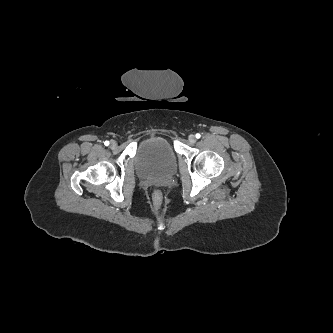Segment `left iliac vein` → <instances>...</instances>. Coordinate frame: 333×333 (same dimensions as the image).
I'll return each instance as SVG.
<instances>
[{
	"mask_svg": "<svg viewBox=\"0 0 333 333\" xmlns=\"http://www.w3.org/2000/svg\"><path fill=\"white\" fill-rule=\"evenodd\" d=\"M188 140H189L190 143H195V142H196V137H195V135L191 134V135L189 136Z\"/></svg>",
	"mask_w": 333,
	"mask_h": 333,
	"instance_id": "4c4485c4",
	"label": "left iliac vein"
}]
</instances>
